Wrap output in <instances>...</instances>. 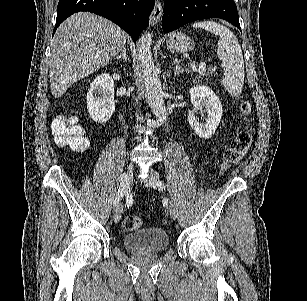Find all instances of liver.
Wrapping results in <instances>:
<instances>
[{
	"mask_svg": "<svg viewBox=\"0 0 307 301\" xmlns=\"http://www.w3.org/2000/svg\"><path fill=\"white\" fill-rule=\"evenodd\" d=\"M127 32L93 12H75L58 26L49 56L50 92L60 98L71 84L103 68L125 48Z\"/></svg>",
	"mask_w": 307,
	"mask_h": 301,
	"instance_id": "liver-1",
	"label": "liver"
}]
</instances>
